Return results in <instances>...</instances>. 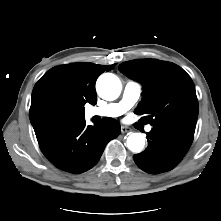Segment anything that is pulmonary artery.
Instances as JSON below:
<instances>
[{
	"instance_id": "1",
	"label": "pulmonary artery",
	"mask_w": 221,
	"mask_h": 221,
	"mask_svg": "<svg viewBox=\"0 0 221 221\" xmlns=\"http://www.w3.org/2000/svg\"><path fill=\"white\" fill-rule=\"evenodd\" d=\"M142 93V85L136 81H128L123 89L122 98L118 102L109 103L100 107H93L87 111L89 117H118L132 108L139 100ZM148 125L146 131H151Z\"/></svg>"
}]
</instances>
